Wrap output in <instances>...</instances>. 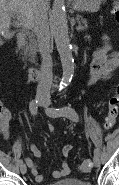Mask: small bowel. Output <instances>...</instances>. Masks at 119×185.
<instances>
[{"label": "small bowel", "instance_id": "c3829d8e", "mask_svg": "<svg viewBox=\"0 0 119 185\" xmlns=\"http://www.w3.org/2000/svg\"><path fill=\"white\" fill-rule=\"evenodd\" d=\"M119 64L118 53L113 51L111 45L106 36L103 37L102 46L94 51L92 60L90 63V75L88 79V85H93L99 81H106L110 79L114 71L117 69ZM5 120L3 121V135L6 140L9 139V122L11 119V114L8 109H4ZM50 131L54 130L53 126L49 127ZM73 146L68 144L65 145L62 149L63 162L62 167L59 170L53 172L54 178H64L70 174V166L68 164L70 152L72 151ZM30 151L34 157L25 158L27 165L29 166L31 173L36 182H42L44 176L41 175L38 171V160L42 156L41 150L35 145L30 146Z\"/></svg>", "mask_w": 119, "mask_h": 185}]
</instances>
